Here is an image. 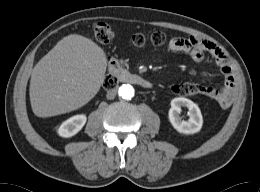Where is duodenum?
I'll list each match as a JSON object with an SVG mask.
<instances>
[{"mask_svg":"<svg viewBox=\"0 0 260 192\" xmlns=\"http://www.w3.org/2000/svg\"><path fill=\"white\" fill-rule=\"evenodd\" d=\"M117 82L128 83L132 85L141 86L143 88H151L152 83L141 75L133 74L124 68H117L113 71Z\"/></svg>","mask_w":260,"mask_h":192,"instance_id":"1","label":"duodenum"}]
</instances>
